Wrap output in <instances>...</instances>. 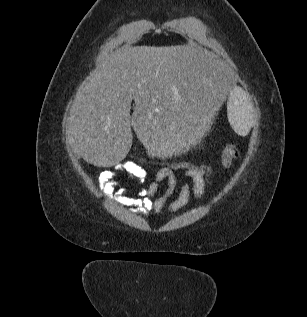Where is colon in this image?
<instances>
[{"instance_id": "colon-1", "label": "colon", "mask_w": 307, "mask_h": 317, "mask_svg": "<svg viewBox=\"0 0 307 317\" xmlns=\"http://www.w3.org/2000/svg\"><path fill=\"white\" fill-rule=\"evenodd\" d=\"M130 156L133 159L139 160L143 163L162 166L167 169H186L196 170L202 174H222L223 170H227L231 167L232 162L240 158V152L235 146H228L224 149L220 166H214L210 163H206L193 158L177 157L169 159H159L150 156L144 150L134 148L130 151Z\"/></svg>"}]
</instances>
